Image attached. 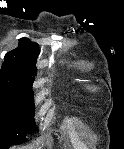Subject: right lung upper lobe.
I'll return each instance as SVG.
<instances>
[{
	"label": "right lung upper lobe",
	"mask_w": 124,
	"mask_h": 149,
	"mask_svg": "<svg viewBox=\"0 0 124 149\" xmlns=\"http://www.w3.org/2000/svg\"><path fill=\"white\" fill-rule=\"evenodd\" d=\"M38 55V44L21 38L19 47L5 55V61L0 69V80L21 88H31L37 74L35 63Z\"/></svg>",
	"instance_id": "obj_1"
}]
</instances>
